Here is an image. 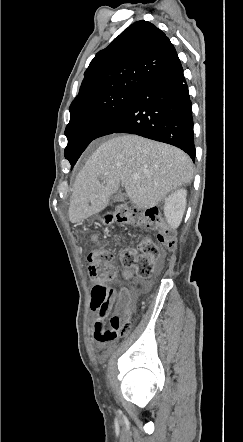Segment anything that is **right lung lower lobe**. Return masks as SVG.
<instances>
[{"instance_id":"98d812e1","label":"right lung lower lobe","mask_w":243,"mask_h":442,"mask_svg":"<svg viewBox=\"0 0 243 442\" xmlns=\"http://www.w3.org/2000/svg\"><path fill=\"white\" fill-rule=\"evenodd\" d=\"M192 103L176 56L152 75L98 132L137 134L174 145L195 159Z\"/></svg>"}]
</instances>
